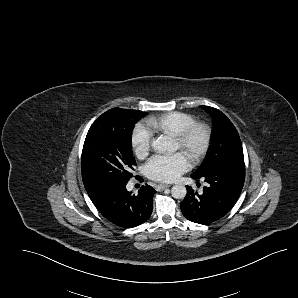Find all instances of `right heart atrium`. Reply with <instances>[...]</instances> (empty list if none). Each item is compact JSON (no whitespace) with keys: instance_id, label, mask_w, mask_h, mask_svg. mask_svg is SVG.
Returning a JSON list of instances; mask_svg holds the SVG:
<instances>
[{"instance_id":"d8ad5b80","label":"right heart atrium","mask_w":298,"mask_h":298,"mask_svg":"<svg viewBox=\"0 0 298 298\" xmlns=\"http://www.w3.org/2000/svg\"><path fill=\"white\" fill-rule=\"evenodd\" d=\"M132 143L136 154L139 157H144L153 145L152 135L145 127L136 125L132 135Z\"/></svg>"}]
</instances>
